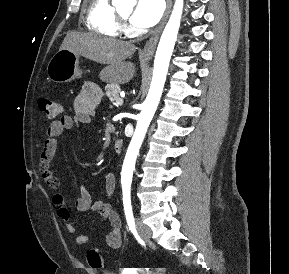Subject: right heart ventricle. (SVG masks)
<instances>
[{
  "instance_id": "obj_1",
  "label": "right heart ventricle",
  "mask_w": 289,
  "mask_h": 274,
  "mask_svg": "<svg viewBox=\"0 0 289 274\" xmlns=\"http://www.w3.org/2000/svg\"><path fill=\"white\" fill-rule=\"evenodd\" d=\"M85 25L89 30L107 37H118L122 33V25L110 0H88Z\"/></svg>"
}]
</instances>
